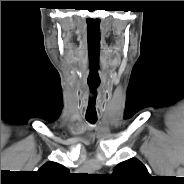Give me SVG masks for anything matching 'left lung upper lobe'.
Masks as SVG:
<instances>
[{"mask_svg":"<svg viewBox=\"0 0 184 184\" xmlns=\"http://www.w3.org/2000/svg\"><path fill=\"white\" fill-rule=\"evenodd\" d=\"M149 176L146 167L135 158L119 163L112 174L117 184H144Z\"/></svg>","mask_w":184,"mask_h":184,"instance_id":"1","label":"left lung upper lobe"}]
</instances>
